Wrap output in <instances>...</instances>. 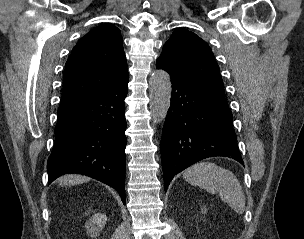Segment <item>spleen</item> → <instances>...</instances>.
<instances>
[{
  "label": "spleen",
  "instance_id": "spleen-1",
  "mask_svg": "<svg viewBox=\"0 0 304 239\" xmlns=\"http://www.w3.org/2000/svg\"><path fill=\"white\" fill-rule=\"evenodd\" d=\"M183 177L191 185L204 188L211 194H218L236 213H244L245 195L242 186L229 170L212 162H200L188 168Z\"/></svg>",
  "mask_w": 304,
  "mask_h": 239
}]
</instances>
